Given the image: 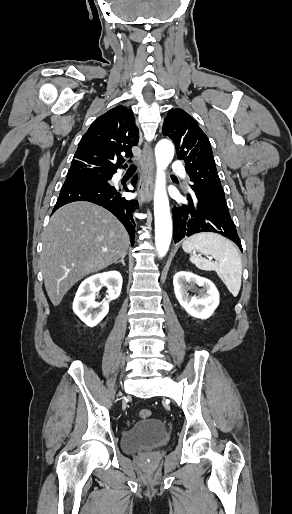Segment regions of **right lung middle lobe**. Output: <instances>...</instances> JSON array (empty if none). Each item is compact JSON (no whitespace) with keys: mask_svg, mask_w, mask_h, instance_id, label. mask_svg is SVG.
<instances>
[{"mask_svg":"<svg viewBox=\"0 0 292 514\" xmlns=\"http://www.w3.org/2000/svg\"><path fill=\"white\" fill-rule=\"evenodd\" d=\"M69 176H88V177H94V178H108L112 175L108 174H100V173H86V174H67V177Z\"/></svg>","mask_w":292,"mask_h":514,"instance_id":"1","label":"right lung middle lobe"}]
</instances>
